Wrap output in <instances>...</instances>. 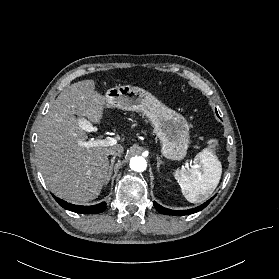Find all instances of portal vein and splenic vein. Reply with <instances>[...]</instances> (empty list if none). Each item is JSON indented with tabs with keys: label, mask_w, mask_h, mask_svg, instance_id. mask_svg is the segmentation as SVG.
I'll return each mask as SVG.
<instances>
[{
	"label": "portal vein and splenic vein",
	"mask_w": 279,
	"mask_h": 279,
	"mask_svg": "<svg viewBox=\"0 0 279 279\" xmlns=\"http://www.w3.org/2000/svg\"><path fill=\"white\" fill-rule=\"evenodd\" d=\"M80 126L83 130L91 132L94 131V128L90 125L88 122H81ZM117 144V140L112 137H106L105 139H97V140H90L85 142H80V145L86 148L91 147H108V146H114Z\"/></svg>",
	"instance_id": "1"
}]
</instances>
